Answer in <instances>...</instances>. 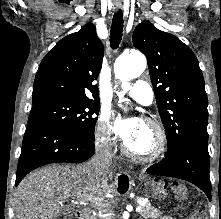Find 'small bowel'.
<instances>
[{
    "instance_id": "obj_1",
    "label": "small bowel",
    "mask_w": 221,
    "mask_h": 219,
    "mask_svg": "<svg viewBox=\"0 0 221 219\" xmlns=\"http://www.w3.org/2000/svg\"><path fill=\"white\" fill-rule=\"evenodd\" d=\"M160 219H170V218H168V217H163V218H160Z\"/></svg>"
}]
</instances>
